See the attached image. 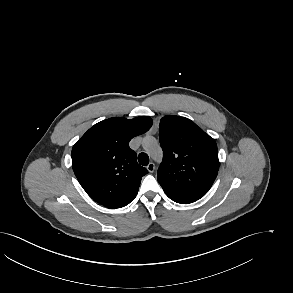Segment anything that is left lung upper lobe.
I'll return each mask as SVG.
<instances>
[{
	"mask_svg": "<svg viewBox=\"0 0 293 293\" xmlns=\"http://www.w3.org/2000/svg\"><path fill=\"white\" fill-rule=\"evenodd\" d=\"M163 161L158 182L168 197L198 200L211 188L219 169L217 145L193 121L164 116L159 125Z\"/></svg>",
	"mask_w": 293,
	"mask_h": 293,
	"instance_id": "left-lung-upper-lobe-1",
	"label": "left lung upper lobe"
}]
</instances>
